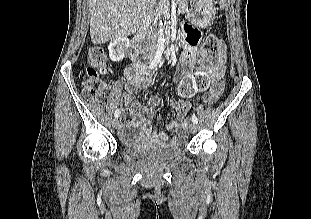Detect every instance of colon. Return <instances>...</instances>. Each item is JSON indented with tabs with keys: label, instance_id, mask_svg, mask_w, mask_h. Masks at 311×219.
<instances>
[{
	"label": "colon",
	"instance_id": "colon-1",
	"mask_svg": "<svg viewBox=\"0 0 311 219\" xmlns=\"http://www.w3.org/2000/svg\"><path fill=\"white\" fill-rule=\"evenodd\" d=\"M193 40L197 41L199 32L196 29L186 27ZM200 60L198 66L203 68L210 66L219 72L223 71L225 58V43L217 36H208L200 47ZM84 71L82 73V92L84 97L91 102H99L107 93V84L103 76L111 71L110 64L100 47H92L84 58ZM209 84L208 77L203 73H197L186 79L179 87L181 95H191L204 90Z\"/></svg>",
	"mask_w": 311,
	"mask_h": 219
}]
</instances>
